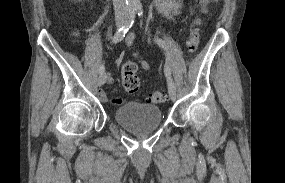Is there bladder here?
Here are the masks:
<instances>
[{
  "instance_id": "bladder-1",
  "label": "bladder",
  "mask_w": 285,
  "mask_h": 183,
  "mask_svg": "<svg viewBox=\"0 0 285 183\" xmlns=\"http://www.w3.org/2000/svg\"><path fill=\"white\" fill-rule=\"evenodd\" d=\"M114 116L118 124L130 130L155 128L162 123L161 109L144 103H125L115 110Z\"/></svg>"
}]
</instances>
